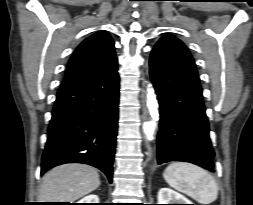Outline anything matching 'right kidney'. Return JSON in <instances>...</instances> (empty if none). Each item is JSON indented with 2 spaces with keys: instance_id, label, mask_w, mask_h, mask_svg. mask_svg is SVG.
<instances>
[{
  "instance_id": "obj_1",
  "label": "right kidney",
  "mask_w": 253,
  "mask_h": 205,
  "mask_svg": "<svg viewBox=\"0 0 253 205\" xmlns=\"http://www.w3.org/2000/svg\"><path fill=\"white\" fill-rule=\"evenodd\" d=\"M77 203H99V197L95 194H90L82 198Z\"/></svg>"
}]
</instances>
